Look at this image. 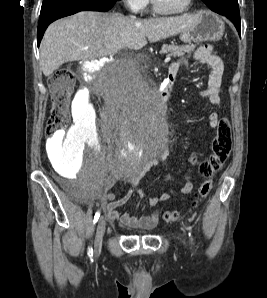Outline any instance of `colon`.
<instances>
[{"label":"colon","instance_id":"obj_1","mask_svg":"<svg viewBox=\"0 0 267 298\" xmlns=\"http://www.w3.org/2000/svg\"><path fill=\"white\" fill-rule=\"evenodd\" d=\"M74 85V75L69 69H59L51 76L50 91L53 105L47 121V133L50 138L64 130L70 123L69 106ZM231 147L232 133L229 122L226 118H221L212 141L209 158L200 162L192 158V161L199 165L200 172L205 177L198 188L197 201L209 195L213 185L212 176L225 164ZM162 217L167 222H173L180 218V213L176 210H167L163 212Z\"/></svg>","mask_w":267,"mask_h":298}]
</instances>
